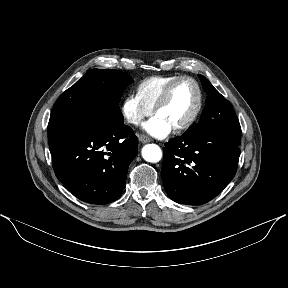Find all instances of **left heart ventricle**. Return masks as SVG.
<instances>
[{
  "mask_svg": "<svg viewBox=\"0 0 288 288\" xmlns=\"http://www.w3.org/2000/svg\"><path fill=\"white\" fill-rule=\"evenodd\" d=\"M197 103V91L190 81H182L174 88L168 102L157 112L171 127L187 121Z\"/></svg>",
  "mask_w": 288,
  "mask_h": 288,
  "instance_id": "b2bd125f",
  "label": "left heart ventricle"
}]
</instances>
